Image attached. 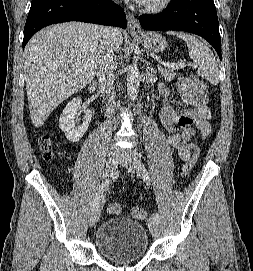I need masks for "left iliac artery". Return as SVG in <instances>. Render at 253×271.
Segmentation results:
<instances>
[{
	"instance_id": "1",
	"label": "left iliac artery",
	"mask_w": 253,
	"mask_h": 271,
	"mask_svg": "<svg viewBox=\"0 0 253 271\" xmlns=\"http://www.w3.org/2000/svg\"><path fill=\"white\" fill-rule=\"evenodd\" d=\"M138 171L139 173L142 175V178L144 180V182L149 185L150 184V176L149 173L144 165V163L142 162V160L140 159L139 165H138ZM153 219L158 221L160 220V216L158 213H153L152 215Z\"/></svg>"
}]
</instances>
